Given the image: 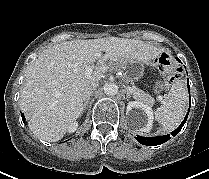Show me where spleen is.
<instances>
[{"label":"spleen","instance_id":"1","mask_svg":"<svg viewBox=\"0 0 209 179\" xmlns=\"http://www.w3.org/2000/svg\"><path fill=\"white\" fill-rule=\"evenodd\" d=\"M188 101L186 85L177 80L172 84L168 94L163 97V105L155 111V120L164 131L175 130L182 122Z\"/></svg>","mask_w":209,"mask_h":179}]
</instances>
